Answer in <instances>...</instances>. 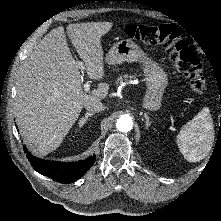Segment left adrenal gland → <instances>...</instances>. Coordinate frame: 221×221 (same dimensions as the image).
Masks as SVG:
<instances>
[{"instance_id": "a2214340", "label": "left adrenal gland", "mask_w": 221, "mask_h": 221, "mask_svg": "<svg viewBox=\"0 0 221 221\" xmlns=\"http://www.w3.org/2000/svg\"><path fill=\"white\" fill-rule=\"evenodd\" d=\"M144 117L146 119L145 126H146V128H148L152 122L149 120V117L146 113H144Z\"/></svg>"}]
</instances>
